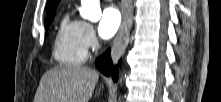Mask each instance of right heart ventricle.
Returning <instances> with one entry per match:
<instances>
[{"mask_svg":"<svg viewBox=\"0 0 221 102\" xmlns=\"http://www.w3.org/2000/svg\"><path fill=\"white\" fill-rule=\"evenodd\" d=\"M53 56L61 65L78 66L87 58V49L82 38V22L65 14L55 32Z\"/></svg>","mask_w":221,"mask_h":102,"instance_id":"1","label":"right heart ventricle"}]
</instances>
